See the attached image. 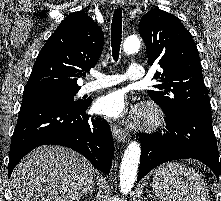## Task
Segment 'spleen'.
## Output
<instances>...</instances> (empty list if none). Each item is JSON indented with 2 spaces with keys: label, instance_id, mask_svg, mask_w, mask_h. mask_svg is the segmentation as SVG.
I'll use <instances>...</instances> for the list:
<instances>
[{
  "label": "spleen",
  "instance_id": "3e777b00",
  "mask_svg": "<svg viewBox=\"0 0 221 201\" xmlns=\"http://www.w3.org/2000/svg\"><path fill=\"white\" fill-rule=\"evenodd\" d=\"M153 193L159 201H210L201 176L181 162H167L154 171Z\"/></svg>",
  "mask_w": 221,
  "mask_h": 201
}]
</instances>
